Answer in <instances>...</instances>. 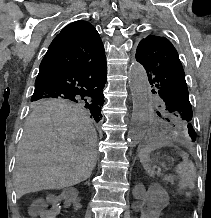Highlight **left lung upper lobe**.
Returning a JSON list of instances; mask_svg holds the SVG:
<instances>
[{
    "label": "left lung upper lobe",
    "instance_id": "5c2ea615",
    "mask_svg": "<svg viewBox=\"0 0 211 218\" xmlns=\"http://www.w3.org/2000/svg\"><path fill=\"white\" fill-rule=\"evenodd\" d=\"M136 60L147 72L152 93L161 99L156 113L173 134L187 143L195 141L192 107L178 53L165 37L149 35L137 47Z\"/></svg>",
    "mask_w": 211,
    "mask_h": 218
}]
</instances>
